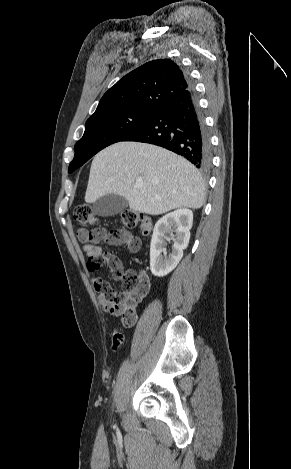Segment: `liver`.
<instances>
[{
	"label": "liver",
	"instance_id": "1",
	"mask_svg": "<svg viewBox=\"0 0 291 469\" xmlns=\"http://www.w3.org/2000/svg\"><path fill=\"white\" fill-rule=\"evenodd\" d=\"M205 190L199 171L181 156L151 144L118 142L95 155L85 201L94 203L115 193L133 211L160 215L178 208H201Z\"/></svg>",
	"mask_w": 291,
	"mask_h": 469
}]
</instances>
